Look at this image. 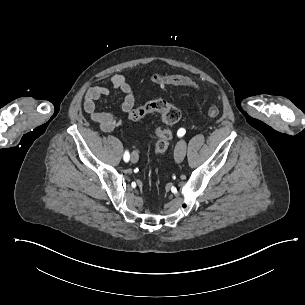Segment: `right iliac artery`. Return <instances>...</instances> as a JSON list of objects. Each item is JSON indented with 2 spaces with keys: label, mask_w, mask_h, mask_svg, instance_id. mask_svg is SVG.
Segmentation results:
<instances>
[{
  "label": "right iliac artery",
  "mask_w": 305,
  "mask_h": 305,
  "mask_svg": "<svg viewBox=\"0 0 305 305\" xmlns=\"http://www.w3.org/2000/svg\"><path fill=\"white\" fill-rule=\"evenodd\" d=\"M124 161L125 162H128L129 161V159H130V155H129V152L128 151H125V153H124Z\"/></svg>",
  "instance_id": "obj_1"
}]
</instances>
